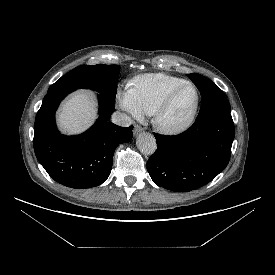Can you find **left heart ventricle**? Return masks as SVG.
<instances>
[{
	"mask_svg": "<svg viewBox=\"0 0 275 275\" xmlns=\"http://www.w3.org/2000/svg\"><path fill=\"white\" fill-rule=\"evenodd\" d=\"M194 99V91L190 87L182 88L176 94L171 106L164 115V122L167 124H177L183 121L191 111Z\"/></svg>",
	"mask_w": 275,
	"mask_h": 275,
	"instance_id": "b2bd125f",
	"label": "left heart ventricle"
}]
</instances>
